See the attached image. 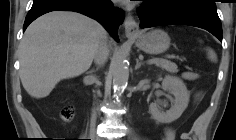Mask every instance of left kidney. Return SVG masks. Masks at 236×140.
<instances>
[{"mask_svg":"<svg viewBox=\"0 0 236 140\" xmlns=\"http://www.w3.org/2000/svg\"><path fill=\"white\" fill-rule=\"evenodd\" d=\"M162 88L169 91L174 96L173 105L164 112L157 102L151 103L149 106L150 112L155 120L161 123H171L178 119L189 103V92L183 81L175 76H166L162 82Z\"/></svg>","mask_w":236,"mask_h":140,"instance_id":"obj_1","label":"left kidney"}]
</instances>
